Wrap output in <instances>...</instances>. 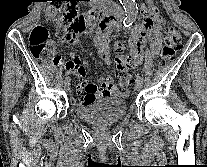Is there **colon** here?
I'll use <instances>...</instances> for the list:
<instances>
[{"mask_svg": "<svg viewBox=\"0 0 207 167\" xmlns=\"http://www.w3.org/2000/svg\"><path fill=\"white\" fill-rule=\"evenodd\" d=\"M59 4L51 7L48 12V18L53 20L58 27V36L61 40L71 41L75 33L84 25V17L75 19L74 9L69 7L63 12L60 11ZM30 53L36 59H42L52 65H59L61 58L55 52L48 29L43 25H37L33 28L29 37ZM181 46L180 33L175 28L167 31L165 46L161 52L159 62L167 64L174 59L176 49ZM77 65L78 60L74 58L68 63ZM119 87L123 91H128L133 84L132 75L124 68H119Z\"/></svg>", "mask_w": 207, "mask_h": 167, "instance_id": "1", "label": "colon"}]
</instances>
